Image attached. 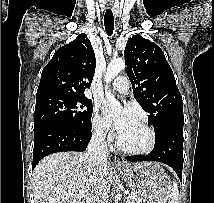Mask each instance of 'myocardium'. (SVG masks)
<instances>
[{
    "mask_svg": "<svg viewBox=\"0 0 214 203\" xmlns=\"http://www.w3.org/2000/svg\"><path fill=\"white\" fill-rule=\"evenodd\" d=\"M139 122L142 124V126L148 132L149 138H148L147 144L144 147L138 148V149L128 148L122 144L121 139H120V133H119V135L117 137L116 146L121 152L129 154V155L139 156V155H145V154L150 153L153 150V148L155 147L156 133H155L154 129L143 119H140Z\"/></svg>",
    "mask_w": 214,
    "mask_h": 203,
    "instance_id": "f54148a6",
    "label": "myocardium"
}]
</instances>
